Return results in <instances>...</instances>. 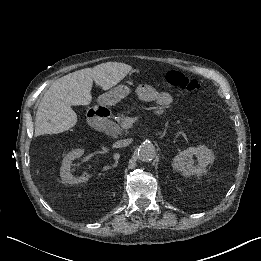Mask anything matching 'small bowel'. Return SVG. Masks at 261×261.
<instances>
[{
	"label": "small bowel",
	"mask_w": 261,
	"mask_h": 261,
	"mask_svg": "<svg viewBox=\"0 0 261 261\" xmlns=\"http://www.w3.org/2000/svg\"><path fill=\"white\" fill-rule=\"evenodd\" d=\"M138 94L147 100L157 102L162 106H167L171 103L172 99L169 94L160 92L150 85H143L138 88Z\"/></svg>",
	"instance_id": "obj_1"
}]
</instances>
